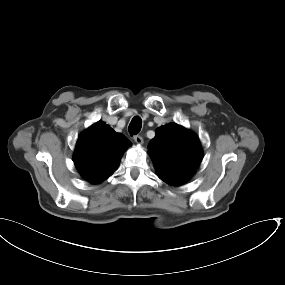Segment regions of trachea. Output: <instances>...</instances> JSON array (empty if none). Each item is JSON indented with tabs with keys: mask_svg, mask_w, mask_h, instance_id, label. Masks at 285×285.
I'll use <instances>...</instances> for the list:
<instances>
[{
	"mask_svg": "<svg viewBox=\"0 0 285 285\" xmlns=\"http://www.w3.org/2000/svg\"><path fill=\"white\" fill-rule=\"evenodd\" d=\"M142 127V120L140 117L136 116L132 119L129 125V133L131 134H138Z\"/></svg>",
	"mask_w": 285,
	"mask_h": 285,
	"instance_id": "trachea-1",
	"label": "trachea"
}]
</instances>
